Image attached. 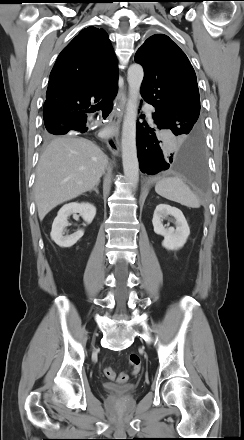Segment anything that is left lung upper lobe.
I'll list each match as a JSON object with an SVG mask.
<instances>
[{
	"mask_svg": "<svg viewBox=\"0 0 244 440\" xmlns=\"http://www.w3.org/2000/svg\"><path fill=\"white\" fill-rule=\"evenodd\" d=\"M135 61L144 68L141 95L168 128L188 137L202 133L196 74L177 44L155 34L138 49Z\"/></svg>",
	"mask_w": 244,
	"mask_h": 440,
	"instance_id": "1",
	"label": "left lung upper lobe"
}]
</instances>
